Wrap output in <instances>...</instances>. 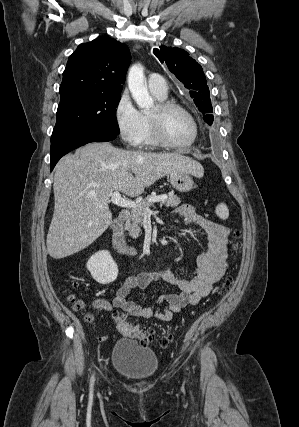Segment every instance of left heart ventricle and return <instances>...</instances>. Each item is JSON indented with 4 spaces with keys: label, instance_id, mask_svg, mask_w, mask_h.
<instances>
[{
    "label": "left heart ventricle",
    "instance_id": "obj_1",
    "mask_svg": "<svg viewBox=\"0 0 299 427\" xmlns=\"http://www.w3.org/2000/svg\"><path fill=\"white\" fill-rule=\"evenodd\" d=\"M154 107L150 114L155 113ZM163 131L166 137L178 144L189 142L193 135V125L189 117L183 112L172 109L167 111L162 118Z\"/></svg>",
    "mask_w": 299,
    "mask_h": 427
}]
</instances>
